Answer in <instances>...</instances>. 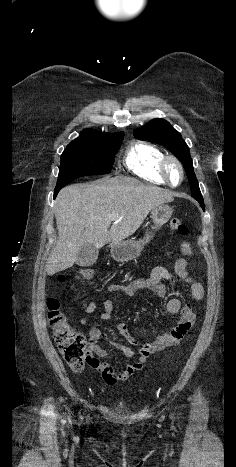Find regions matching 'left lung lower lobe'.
<instances>
[{
  "label": "left lung lower lobe",
  "instance_id": "left-lung-lower-lobe-1",
  "mask_svg": "<svg viewBox=\"0 0 236 467\" xmlns=\"http://www.w3.org/2000/svg\"><path fill=\"white\" fill-rule=\"evenodd\" d=\"M201 205V207L203 208L204 210V203H203V199H198V198H195Z\"/></svg>",
  "mask_w": 236,
  "mask_h": 467
}]
</instances>
